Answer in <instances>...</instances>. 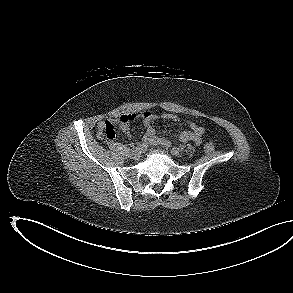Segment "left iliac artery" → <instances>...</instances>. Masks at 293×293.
I'll list each match as a JSON object with an SVG mask.
<instances>
[{
	"label": "left iliac artery",
	"mask_w": 293,
	"mask_h": 293,
	"mask_svg": "<svg viewBox=\"0 0 293 293\" xmlns=\"http://www.w3.org/2000/svg\"><path fill=\"white\" fill-rule=\"evenodd\" d=\"M184 148H185V146H184V145H181V146H180V149H181V151H183V150H184Z\"/></svg>",
	"instance_id": "left-iliac-artery-1"
}]
</instances>
